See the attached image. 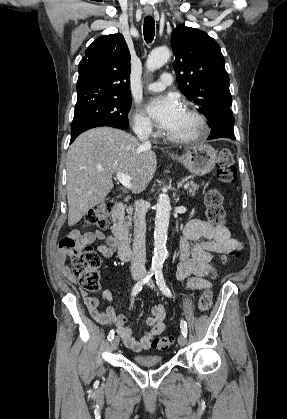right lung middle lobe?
I'll return each instance as SVG.
<instances>
[{
    "label": "right lung middle lobe",
    "mask_w": 287,
    "mask_h": 419,
    "mask_svg": "<svg viewBox=\"0 0 287 419\" xmlns=\"http://www.w3.org/2000/svg\"><path fill=\"white\" fill-rule=\"evenodd\" d=\"M130 107L131 98L126 97L101 100L75 108L71 138L99 126L126 129L129 126L127 115Z\"/></svg>",
    "instance_id": "obj_1"
}]
</instances>
